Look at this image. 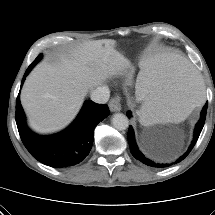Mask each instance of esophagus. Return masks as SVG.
<instances>
[{
	"label": "esophagus",
	"instance_id": "obj_1",
	"mask_svg": "<svg viewBox=\"0 0 215 215\" xmlns=\"http://www.w3.org/2000/svg\"><path fill=\"white\" fill-rule=\"evenodd\" d=\"M109 108L112 112H118L121 110V98L115 96L109 101Z\"/></svg>",
	"mask_w": 215,
	"mask_h": 215
}]
</instances>
